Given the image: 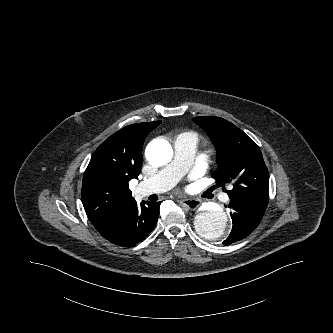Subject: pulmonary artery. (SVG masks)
Segmentation results:
<instances>
[{
	"label": "pulmonary artery",
	"instance_id": "e3ab8cb5",
	"mask_svg": "<svg viewBox=\"0 0 333 333\" xmlns=\"http://www.w3.org/2000/svg\"><path fill=\"white\" fill-rule=\"evenodd\" d=\"M197 148L198 140L195 136L188 133L178 135L174 141L175 155L172 162L156 175L143 180L138 191L142 195H149L172 188L190 167Z\"/></svg>",
	"mask_w": 333,
	"mask_h": 333
}]
</instances>
